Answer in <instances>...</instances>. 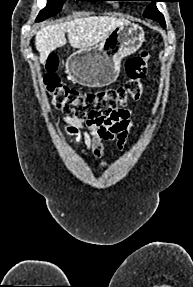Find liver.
I'll use <instances>...</instances> for the list:
<instances>
[{
    "instance_id": "6515ba94",
    "label": "liver",
    "mask_w": 193,
    "mask_h": 287,
    "mask_svg": "<svg viewBox=\"0 0 193 287\" xmlns=\"http://www.w3.org/2000/svg\"><path fill=\"white\" fill-rule=\"evenodd\" d=\"M127 23L129 21L123 18L89 16L43 26L35 37L40 63H45L52 51L66 44L65 33L71 47L89 49L105 40L114 29Z\"/></svg>"
}]
</instances>
